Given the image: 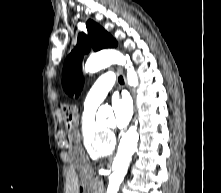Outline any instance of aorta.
<instances>
[{"label": "aorta", "mask_w": 221, "mask_h": 193, "mask_svg": "<svg viewBox=\"0 0 221 193\" xmlns=\"http://www.w3.org/2000/svg\"><path fill=\"white\" fill-rule=\"evenodd\" d=\"M113 64H119L127 69V82L130 86L136 87L138 85V77L132 66L129 57L124 56L117 50H105L91 55L85 63V71L87 73H96L101 69L109 67ZM112 110L108 106H101L97 112V119H101L107 114H111ZM139 140V133L137 126H132L122 136L117 155L114 159L115 171L109 177V184L106 193H117L125 175L127 174L132 155L137 150V143Z\"/></svg>", "instance_id": "1"}]
</instances>
